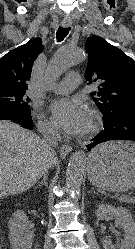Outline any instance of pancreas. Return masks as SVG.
Returning a JSON list of instances; mask_svg holds the SVG:
<instances>
[{
  "mask_svg": "<svg viewBox=\"0 0 135 249\" xmlns=\"http://www.w3.org/2000/svg\"><path fill=\"white\" fill-rule=\"evenodd\" d=\"M121 202L127 203V204H134L135 203V199L131 198V197H127V196H122L119 199Z\"/></svg>",
  "mask_w": 135,
  "mask_h": 249,
  "instance_id": "1",
  "label": "pancreas"
}]
</instances>
